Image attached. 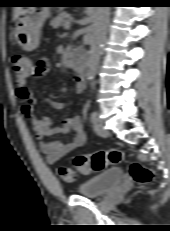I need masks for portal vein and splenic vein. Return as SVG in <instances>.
<instances>
[{"mask_svg":"<svg viewBox=\"0 0 170 231\" xmlns=\"http://www.w3.org/2000/svg\"><path fill=\"white\" fill-rule=\"evenodd\" d=\"M64 28L66 30H68L70 28V22L69 21L65 23Z\"/></svg>","mask_w":170,"mask_h":231,"instance_id":"18ae733b","label":"portal vein and splenic vein"}]
</instances>
